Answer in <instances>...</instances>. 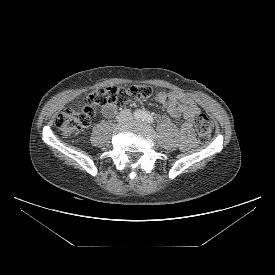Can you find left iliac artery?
<instances>
[{
  "instance_id": "obj_1",
  "label": "left iliac artery",
  "mask_w": 275,
  "mask_h": 275,
  "mask_svg": "<svg viewBox=\"0 0 275 275\" xmlns=\"http://www.w3.org/2000/svg\"><path fill=\"white\" fill-rule=\"evenodd\" d=\"M143 121L147 122V123H153L154 122V119L153 117L149 114V113H143Z\"/></svg>"
}]
</instances>
